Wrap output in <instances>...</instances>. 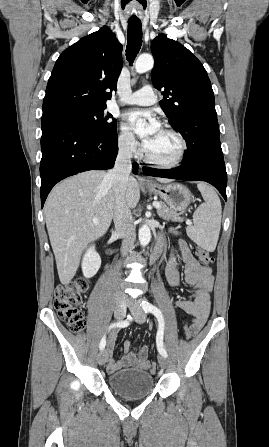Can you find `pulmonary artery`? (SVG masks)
<instances>
[{"instance_id": "1", "label": "pulmonary artery", "mask_w": 269, "mask_h": 447, "mask_svg": "<svg viewBox=\"0 0 269 447\" xmlns=\"http://www.w3.org/2000/svg\"><path fill=\"white\" fill-rule=\"evenodd\" d=\"M157 98V91L152 86L147 85L127 95L122 101L130 105L150 106L157 102Z\"/></svg>"}]
</instances>
